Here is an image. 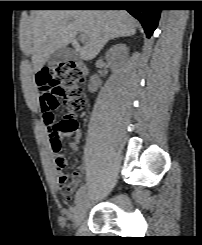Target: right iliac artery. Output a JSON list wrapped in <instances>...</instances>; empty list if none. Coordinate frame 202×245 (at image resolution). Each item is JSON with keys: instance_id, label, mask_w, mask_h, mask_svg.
<instances>
[{"instance_id": "obj_1", "label": "right iliac artery", "mask_w": 202, "mask_h": 245, "mask_svg": "<svg viewBox=\"0 0 202 245\" xmlns=\"http://www.w3.org/2000/svg\"><path fill=\"white\" fill-rule=\"evenodd\" d=\"M85 193V185L81 186L75 194V204L79 202V200L83 197Z\"/></svg>"}]
</instances>
